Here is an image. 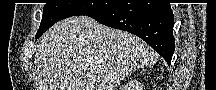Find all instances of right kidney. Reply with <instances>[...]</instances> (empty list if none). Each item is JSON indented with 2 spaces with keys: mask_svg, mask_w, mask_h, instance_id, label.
<instances>
[{
  "mask_svg": "<svg viewBox=\"0 0 216 90\" xmlns=\"http://www.w3.org/2000/svg\"><path fill=\"white\" fill-rule=\"evenodd\" d=\"M137 88H140V84L137 86ZM127 90H133V88H131V86H127Z\"/></svg>",
  "mask_w": 216,
  "mask_h": 90,
  "instance_id": "ca27d5eb",
  "label": "right kidney"
}]
</instances>
